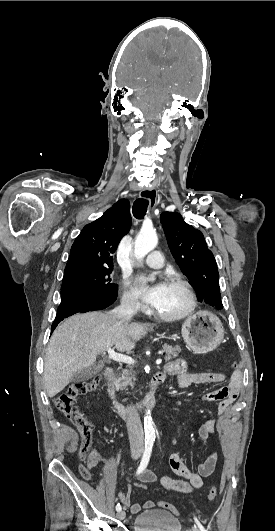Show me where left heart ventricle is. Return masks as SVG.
I'll return each instance as SVG.
<instances>
[{"mask_svg": "<svg viewBox=\"0 0 275 531\" xmlns=\"http://www.w3.org/2000/svg\"><path fill=\"white\" fill-rule=\"evenodd\" d=\"M187 305L188 298L184 289L172 281H167L158 303L153 307L161 314L170 315L182 312Z\"/></svg>", "mask_w": 275, "mask_h": 531, "instance_id": "1", "label": "left heart ventricle"}]
</instances>
